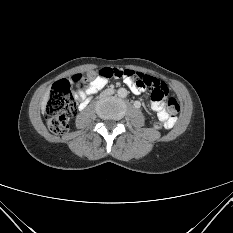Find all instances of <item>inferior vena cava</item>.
Returning <instances> with one entry per match:
<instances>
[{
  "instance_id": "obj_1",
  "label": "inferior vena cava",
  "mask_w": 233,
  "mask_h": 233,
  "mask_svg": "<svg viewBox=\"0 0 233 233\" xmlns=\"http://www.w3.org/2000/svg\"><path fill=\"white\" fill-rule=\"evenodd\" d=\"M114 93V90L111 87H108L107 89H104L101 91V96L104 98H107L108 96H111Z\"/></svg>"
}]
</instances>
